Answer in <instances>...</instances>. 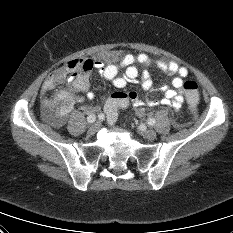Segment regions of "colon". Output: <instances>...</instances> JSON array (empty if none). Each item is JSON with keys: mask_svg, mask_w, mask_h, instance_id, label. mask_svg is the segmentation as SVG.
I'll use <instances>...</instances> for the list:
<instances>
[{"mask_svg": "<svg viewBox=\"0 0 233 233\" xmlns=\"http://www.w3.org/2000/svg\"><path fill=\"white\" fill-rule=\"evenodd\" d=\"M93 62L88 59H74L66 63L59 70L50 75L49 84L45 93L52 91L65 78H79L90 73ZM183 90L186 94L187 102L195 110L199 101L198 85L193 80L183 83ZM129 103V95L126 92H114L105 105V119L109 124H113L120 111L125 109Z\"/></svg>", "mask_w": 233, "mask_h": 233, "instance_id": "1", "label": "colon"}]
</instances>
